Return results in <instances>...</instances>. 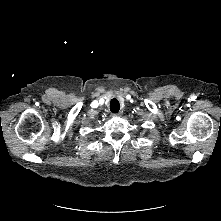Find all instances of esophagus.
Listing matches in <instances>:
<instances>
[{
	"mask_svg": "<svg viewBox=\"0 0 221 221\" xmlns=\"http://www.w3.org/2000/svg\"><path fill=\"white\" fill-rule=\"evenodd\" d=\"M112 116L113 117H120L121 116V112L113 113Z\"/></svg>",
	"mask_w": 221,
	"mask_h": 221,
	"instance_id": "esophagus-1",
	"label": "esophagus"
}]
</instances>
